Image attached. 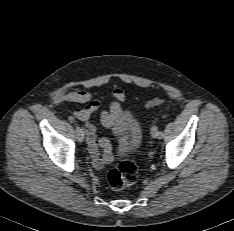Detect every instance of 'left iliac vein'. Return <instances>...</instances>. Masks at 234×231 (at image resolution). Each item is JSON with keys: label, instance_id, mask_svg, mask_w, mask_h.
Masks as SVG:
<instances>
[{"label": "left iliac vein", "instance_id": "obj_1", "mask_svg": "<svg viewBox=\"0 0 234 231\" xmlns=\"http://www.w3.org/2000/svg\"><path fill=\"white\" fill-rule=\"evenodd\" d=\"M151 136L153 137V138H157L158 137V129H157V127H153L152 129H151Z\"/></svg>", "mask_w": 234, "mask_h": 231}]
</instances>
